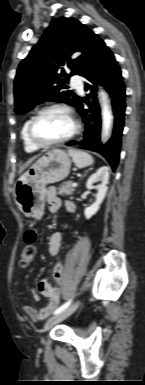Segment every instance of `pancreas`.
I'll use <instances>...</instances> for the list:
<instances>
[{
  "instance_id": "1",
  "label": "pancreas",
  "mask_w": 145,
  "mask_h": 385,
  "mask_svg": "<svg viewBox=\"0 0 145 385\" xmlns=\"http://www.w3.org/2000/svg\"><path fill=\"white\" fill-rule=\"evenodd\" d=\"M74 191H75V188L72 186L71 182H67L65 185H61L58 188V194L61 196L72 195Z\"/></svg>"
}]
</instances>
